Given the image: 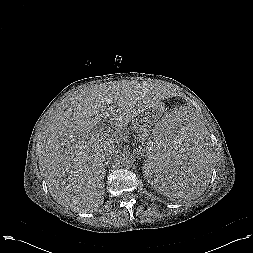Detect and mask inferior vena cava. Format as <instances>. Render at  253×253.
<instances>
[{
	"mask_svg": "<svg viewBox=\"0 0 253 253\" xmlns=\"http://www.w3.org/2000/svg\"><path fill=\"white\" fill-rule=\"evenodd\" d=\"M109 148L106 150L105 158L108 159L110 156L113 155L114 152L117 150V146L112 144L108 146Z\"/></svg>",
	"mask_w": 253,
	"mask_h": 253,
	"instance_id": "1",
	"label": "inferior vena cava"
}]
</instances>
